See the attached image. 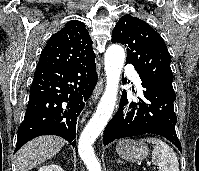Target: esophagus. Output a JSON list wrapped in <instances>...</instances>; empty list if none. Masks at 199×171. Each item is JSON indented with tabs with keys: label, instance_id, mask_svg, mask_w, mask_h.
<instances>
[{
	"label": "esophagus",
	"instance_id": "obj_1",
	"mask_svg": "<svg viewBox=\"0 0 199 171\" xmlns=\"http://www.w3.org/2000/svg\"><path fill=\"white\" fill-rule=\"evenodd\" d=\"M103 85H104L103 84V79H101L98 82V84H97V86H96V88H95V90L93 92V95H92V101L93 102H95L99 98V96H100V94H101V92L103 90Z\"/></svg>",
	"mask_w": 199,
	"mask_h": 171
}]
</instances>
